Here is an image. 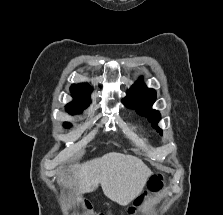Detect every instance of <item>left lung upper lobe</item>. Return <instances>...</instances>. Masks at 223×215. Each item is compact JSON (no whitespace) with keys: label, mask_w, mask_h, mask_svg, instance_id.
Wrapping results in <instances>:
<instances>
[{"label":"left lung upper lobe","mask_w":223,"mask_h":215,"mask_svg":"<svg viewBox=\"0 0 223 215\" xmlns=\"http://www.w3.org/2000/svg\"><path fill=\"white\" fill-rule=\"evenodd\" d=\"M156 100V91L147 88L141 81L136 82L128 91V96L122 102L137 113L145 116L152 123V126L162 134V130L157 126L161 115L158 111L153 110L152 104Z\"/></svg>","instance_id":"obj_1"}]
</instances>
